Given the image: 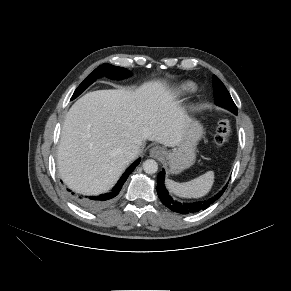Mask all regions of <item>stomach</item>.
Segmentation results:
<instances>
[{
    "instance_id": "stomach-1",
    "label": "stomach",
    "mask_w": 291,
    "mask_h": 291,
    "mask_svg": "<svg viewBox=\"0 0 291 291\" xmlns=\"http://www.w3.org/2000/svg\"><path fill=\"white\" fill-rule=\"evenodd\" d=\"M203 134V126L197 120L189 118L182 141L171 151L163 152L172 174H178L195 163L196 146Z\"/></svg>"
}]
</instances>
